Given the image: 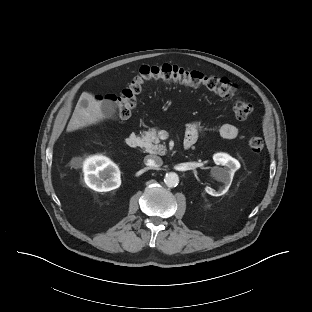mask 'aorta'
Wrapping results in <instances>:
<instances>
[{
	"label": "aorta",
	"instance_id": "aorta-1",
	"mask_svg": "<svg viewBox=\"0 0 312 312\" xmlns=\"http://www.w3.org/2000/svg\"><path fill=\"white\" fill-rule=\"evenodd\" d=\"M164 182L168 187H176L179 183V177L175 172L166 173Z\"/></svg>",
	"mask_w": 312,
	"mask_h": 312
}]
</instances>
